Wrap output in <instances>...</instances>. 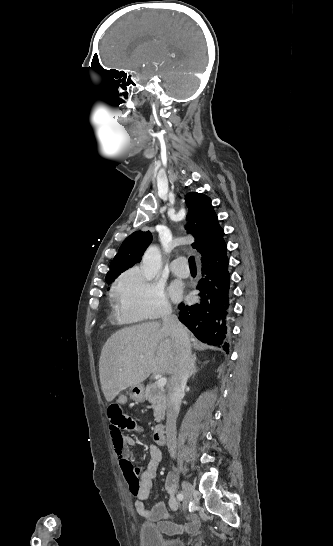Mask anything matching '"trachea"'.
Masks as SVG:
<instances>
[{
  "label": "trachea",
  "instance_id": "obj_1",
  "mask_svg": "<svg viewBox=\"0 0 333 546\" xmlns=\"http://www.w3.org/2000/svg\"><path fill=\"white\" fill-rule=\"evenodd\" d=\"M189 266H190V268H194V269L196 268V263H195V258H194V256H191V257L189 258Z\"/></svg>",
  "mask_w": 333,
  "mask_h": 546
}]
</instances>
